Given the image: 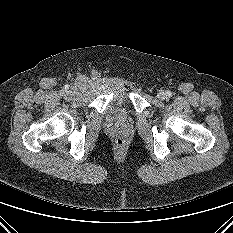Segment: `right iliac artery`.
<instances>
[{
	"instance_id": "obj_1",
	"label": "right iliac artery",
	"mask_w": 233,
	"mask_h": 233,
	"mask_svg": "<svg viewBox=\"0 0 233 233\" xmlns=\"http://www.w3.org/2000/svg\"><path fill=\"white\" fill-rule=\"evenodd\" d=\"M65 89H68V86H66ZM63 94H64V90H61V91H60V95L63 96Z\"/></svg>"
}]
</instances>
